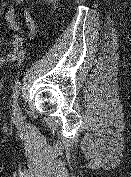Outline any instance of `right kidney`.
<instances>
[{"label":"right kidney","instance_id":"obj_1","mask_svg":"<svg viewBox=\"0 0 131 177\" xmlns=\"http://www.w3.org/2000/svg\"><path fill=\"white\" fill-rule=\"evenodd\" d=\"M56 1H58V0H46V2H48V3H54Z\"/></svg>","mask_w":131,"mask_h":177}]
</instances>
